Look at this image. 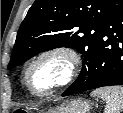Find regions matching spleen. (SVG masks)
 Segmentation results:
<instances>
[{"mask_svg": "<svg viewBox=\"0 0 123 113\" xmlns=\"http://www.w3.org/2000/svg\"><path fill=\"white\" fill-rule=\"evenodd\" d=\"M106 102L105 113H120L123 110V87L111 86L96 89L91 93Z\"/></svg>", "mask_w": 123, "mask_h": 113, "instance_id": "spleen-1", "label": "spleen"}]
</instances>
